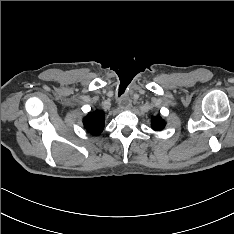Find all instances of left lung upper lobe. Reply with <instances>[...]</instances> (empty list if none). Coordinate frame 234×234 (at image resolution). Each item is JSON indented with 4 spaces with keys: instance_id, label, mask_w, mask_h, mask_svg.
<instances>
[{
    "instance_id": "1",
    "label": "left lung upper lobe",
    "mask_w": 234,
    "mask_h": 234,
    "mask_svg": "<svg viewBox=\"0 0 234 234\" xmlns=\"http://www.w3.org/2000/svg\"><path fill=\"white\" fill-rule=\"evenodd\" d=\"M166 123L160 115L154 116L151 120V126L154 130H162Z\"/></svg>"
}]
</instances>
